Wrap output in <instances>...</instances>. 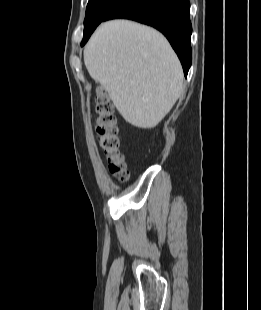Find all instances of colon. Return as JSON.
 Returning <instances> with one entry per match:
<instances>
[{"label":"colon","instance_id":"5ec220e1","mask_svg":"<svg viewBox=\"0 0 261 310\" xmlns=\"http://www.w3.org/2000/svg\"><path fill=\"white\" fill-rule=\"evenodd\" d=\"M96 114V133L109 170L119 180L126 181L129 173L120 151L118 121L112 104L103 92L99 93L96 98Z\"/></svg>","mask_w":261,"mask_h":310}]
</instances>
